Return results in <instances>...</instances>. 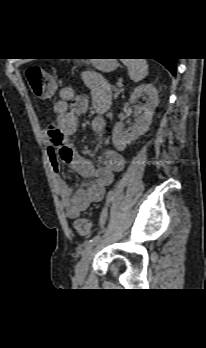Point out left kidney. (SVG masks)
<instances>
[{
    "mask_svg": "<svg viewBox=\"0 0 206 348\" xmlns=\"http://www.w3.org/2000/svg\"><path fill=\"white\" fill-rule=\"evenodd\" d=\"M140 98L146 103L138 105ZM130 102L135 104L137 118L131 130H126L122 122H118L114 126L112 141L118 151H123L129 143L149 130L155 109L159 103L158 92L152 84H141L132 92Z\"/></svg>",
    "mask_w": 206,
    "mask_h": 348,
    "instance_id": "left-kidney-1",
    "label": "left kidney"
}]
</instances>
